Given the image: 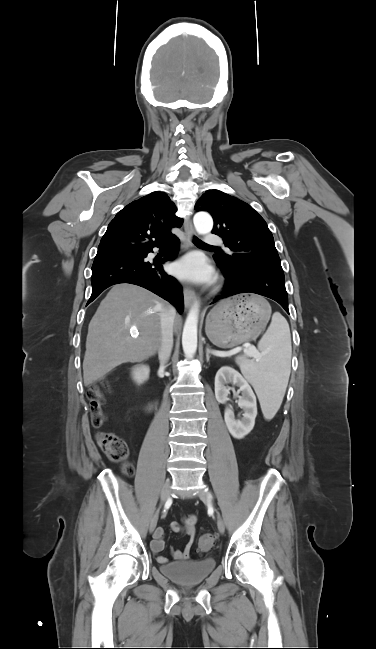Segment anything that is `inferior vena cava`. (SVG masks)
<instances>
[{
  "mask_svg": "<svg viewBox=\"0 0 376 649\" xmlns=\"http://www.w3.org/2000/svg\"><path fill=\"white\" fill-rule=\"evenodd\" d=\"M176 311L173 307L164 309L160 315L161 341L158 348L160 368L164 369L173 348V327Z\"/></svg>",
  "mask_w": 376,
  "mask_h": 649,
  "instance_id": "1",
  "label": "inferior vena cava"
}]
</instances>
